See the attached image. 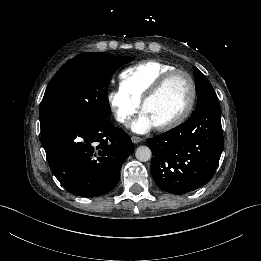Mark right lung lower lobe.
<instances>
[{"instance_id":"right-lung-lower-lobe-1","label":"right lung lower lobe","mask_w":261,"mask_h":261,"mask_svg":"<svg viewBox=\"0 0 261 261\" xmlns=\"http://www.w3.org/2000/svg\"><path fill=\"white\" fill-rule=\"evenodd\" d=\"M41 143L62 186L87 198L110 192L133 152L131 138L108 119L56 123L41 133Z\"/></svg>"}]
</instances>
